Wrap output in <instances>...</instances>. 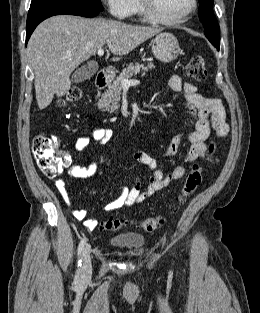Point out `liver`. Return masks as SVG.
Segmentation results:
<instances>
[{
	"label": "liver",
	"instance_id": "6515ba94",
	"mask_svg": "<svg viewBox=\"0 0 260 313\" xmlns=\"http://www.w3.org/2000/svg\"><path fill=\"white\" fill-rule=\"evenodd\" d=\"M162 28L135 26L104 18L86 19L58 15L46 19L33 32L27 46L35 74L36 100L40 110L71 88L70 75L82 62L107 44L113 61L161 32Z\"/></svg>",
	"mask_w": 260,
	"mask_h": 313
}]
</instances>
